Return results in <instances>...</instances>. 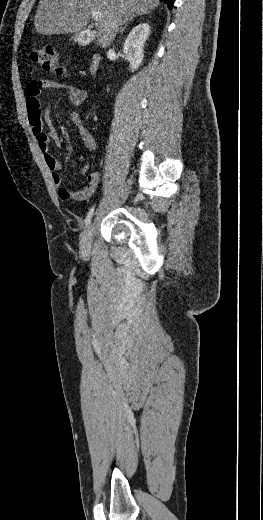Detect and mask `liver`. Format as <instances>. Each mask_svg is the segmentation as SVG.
I'll list each match as a JSON object with an SVG mask.
<instances>
[{
    "label": "liver",
    "mask_w": 263,
    "mask_h": 520,
    "mask_svg": "<svg viewBox=\"0 0 263 520\" xmlns=\"http://www.w3.org/2000/svg\"><path fill=\"white\" fill-rule=\"evenodd\" d=\"M159 4V0H40L34 25L43 35L76 34L88 24L92 13L100 12L98 43L107 47L120 26Z\"/></svg>",
    "instance_id": "liver-1"
}]
</instances>
